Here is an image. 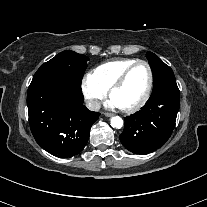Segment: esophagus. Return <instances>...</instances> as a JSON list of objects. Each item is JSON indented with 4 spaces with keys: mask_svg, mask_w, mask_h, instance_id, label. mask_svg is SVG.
<instances>
[{
    "mask_svg": "<svg viewBox=\"0 0 207 207\" xmlns=\"http://www.w3.org/2000/svg\"><path fill=\"white\" fill-rule=\"evenodd\" d=\"M104 115H105L106 117H112V116H113L112 113H108V112L104 113Z\"/></svg>",
    "mask_w": 207,
    "mask_h": 207,
    "instance_id": "obj_1",
    "label": "esophagus"
}]
</instances>
